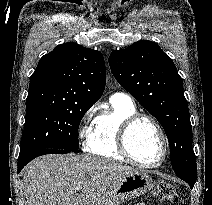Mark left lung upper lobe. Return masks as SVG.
<instances>
[{
  "label": "left lung upper lobe",
  "instance_id": "1",
  "mask_svg": "<svg viewBox=\"0 0 212 205\" xmlns=\"http://www.w3.org/2000/svg\"><path fill=\"white\" fill-rule=\"evenodd\" d=\"M119 82L162 125L175 173L196 174L192 126L183 81L172 59L152 41H138L109 56Z\"/></svg>",
  "mask_w": 212,
  "mask_h": 205
}]
</instances>
